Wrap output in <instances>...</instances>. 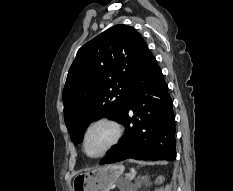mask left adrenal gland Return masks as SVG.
Masks as SVG:
<instances>
[{
    "label": "left adrenal gland",
    "instance_id": "1",
    "mask_svg": "<svg viewBox=\"0 0 233 191\" xmlns=\"http://www.w3.org/2000/svg\"><path fill=\"white\" fill-rule=\"evenodd\" d=\"M135 175H136L135 170H134V169H131V172L128 174V177H130V178H134V177H135Z\"/></svg>",
    "mask_w": 233,
    "mask_h": 191
}]
</instances>
